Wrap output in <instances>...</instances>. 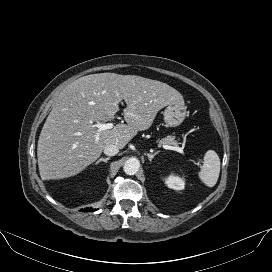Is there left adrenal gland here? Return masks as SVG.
Instances as JSON below:
<instances>
[{
  "mask_svg": "<svg viewBox=\"0 0 272 272\" xmlns=\"http://www.w3.org/2000/svg\"><path fill=\"white\" fill-rule=\"evenodd\" d=\"M159 152H154L153 154L147 153L146 156L149 158L150 161L158 154Z\"/></svg>",
  "mask_w": 272,
  "mask_h": 272,
  "instance_id": "1",
  "label": "left adrenal gland"
}]
</instances>
